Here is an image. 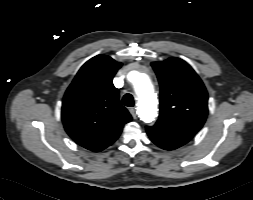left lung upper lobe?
<instances>
[{"label": "left lung upper lobe", "mask_w": 253, "mask_h": 200, "mask_svg": "<svg viewBox=\"0 0 253 200\" xmlns=\"http://www.w3.org/2000/svg\"><path fill=\"white\" fill-rule=\"evenodd\" d=\"M160 84V114L155 125L197 133L208 113L206 88L189 64L171 57L153 62Z\"/></svg>", "instance_id": "5c2ea615"}]
</instances>
